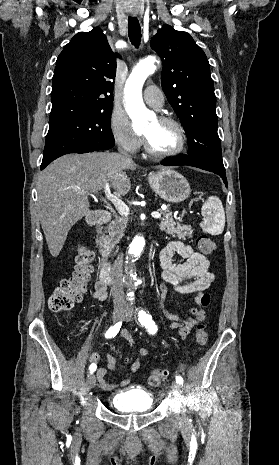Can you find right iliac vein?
<instances>
[{
	"label": "right iliac vein",
	"mask_w": 279,
	"mask_h": 465,
	"mask_svg": "<svg viewBox=\"0 0 279 465\" xmlns=\"http://www.w3.org/2000/svg\"><path fill=\"white\" fill-rule=\"evenodd\" d=\"M123 314H124V309L115 308L113 310L112 320L114 322L118 321L123 316ZM95 383H96L95 375L93 373L89 374L87 377V381H86L87 390L90 391L91 389H93V387L95 386Z\"/></svg>",
	"instance_id": "obj_1"
}]
</instances>
